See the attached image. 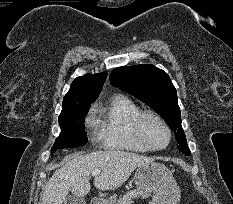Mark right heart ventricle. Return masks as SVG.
I'll list each match as a JSON object with an SVG mask.
<instances>
[{"label": "right heart ventricle", "mask_w": 233, "mask_h": 204, "mask_svg": "<svg viewBox=\"0 0 233 204\" xmlns=\"http://www.w3.org/2000/svg\"><path fill=\"white\" fill-rule=\"evenodd\" d=\"M141 112V108L124 95H115L104 107L98 108L96 123L102 146L110 150L148 151L138 143L132 130V122Z\"/></svg>", "instance_id": "obj_1"}]
</instances>
